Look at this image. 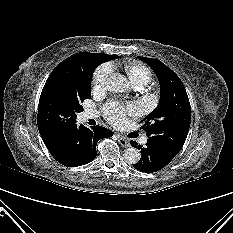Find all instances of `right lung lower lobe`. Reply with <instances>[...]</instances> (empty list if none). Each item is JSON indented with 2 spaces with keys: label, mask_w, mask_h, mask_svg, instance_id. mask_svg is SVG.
Wrapping results in <instances>:
<instances>
[{
  "label": "right lung lower lobe",
  "mask_w": 233,
  "mask_h": 233,
  "mask_svg": "<svg viewBox=\"0 0 233 233\" xmlns=\"http://www.w3.org/2000/svg\"><path fill=\"white\" fill-rule=\"evenodd\" d=\"M112 135L109 129L101 126L88 129L83 125L77 127L75 124L61 141L46 146L59 163L68 167H77L93 161L97 153V142Z\"/></svg>",
  "instance_id": "obj_1"
}]
</instances>
